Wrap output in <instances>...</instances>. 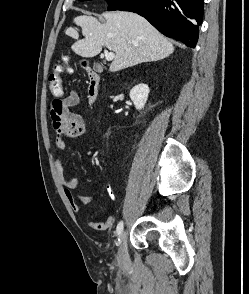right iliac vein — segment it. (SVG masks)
Segmentation results:
<instances>
[{"mask_svg": "<svg viewBox=\"0 0 249 294\" xmlns=\"http://www.w3.org/2000/svg\"><path fill=\"white\" fill-rule=\"evenodd\" d=\"M118 259L120 262L124 263L128 259V252H127V232L124 231L121 236Z\"/></svg>", "mask_w": 249, "mask_h": 294, "instance_id": "obj_1", "label": "right iliac vein"}]
</instances>
